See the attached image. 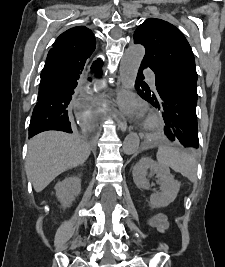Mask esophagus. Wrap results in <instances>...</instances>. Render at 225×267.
Segmentation results:
<instances>
[{"instance_id":"esophagus-1","label":"esophagus","mask_w":225,"mask_h":267,"mask_svg":"<svg viewBox=\"0 0 225 267\" xmlns=\"http://www.w3.org/2000/svg\"><path fill=\"white\" fill-rule=\"evenodd\" d=\"M124 93V87L122 85H118L117 89H116V100H115V109H114V116L116 118L117 124L119 126V128L122 131H126L127 129V121L126 118L124 117L121 109H120V105H119V98L121 95H123Z\"/></svg>"}]
</instances>
